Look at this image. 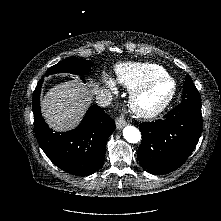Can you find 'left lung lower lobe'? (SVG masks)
<instances>
[{
    "instance_id": "0a47b994",
    "label": "left lung lower lobe",
    "mask_w": 221,
    "mask_h": 221,
    "mask_svg": "<svg viewBox=\"0 0 221 221\" xmlns=\"http://www.w3.org/2000/svg\"><path fill=\"white\" fill-rule=\"evenodd\" d=\"M138 161L154 175L179 168L196 147L202 131L201 105L181 103L162 119L139 125Z\"/></svg>"
}]
</instances>
